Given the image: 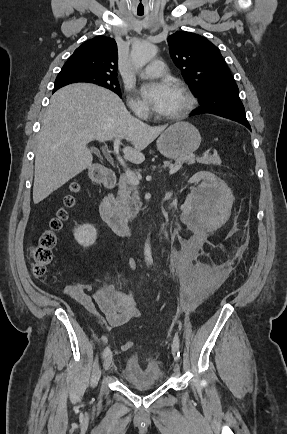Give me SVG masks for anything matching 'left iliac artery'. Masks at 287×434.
<instances>
[{"instance_id":"1","label":"left iliac artery","mask_w":287,"mask_h":434,"mask_svg":"<svg viewBox=\"0 0 287 434\" xmlns=\"http://www.w3.org/2000/svg\"><path fill=\"white\" fill-rule=\"evenodd\" d=\"M182 306H183V304H182ZM173 343L177 346V348L179 350V336L177 334L174 336ZM177 353H178V356H179L180 353L179 352H177Z\"/></svg>"}]
</instances>
